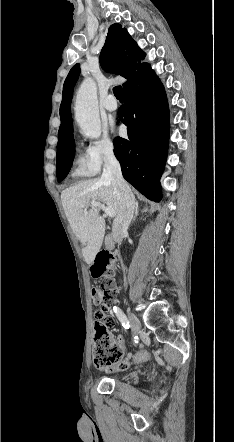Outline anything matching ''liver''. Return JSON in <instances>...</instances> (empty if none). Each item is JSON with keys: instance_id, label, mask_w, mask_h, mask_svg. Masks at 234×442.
Returning a JSON list of instances; mask_svg holds the SVG:
<instances>
[{"instance_id": "liver-1", "label": "liver", "mask_w": 234, "mask_h": 442, "mask_svg": "<svg viewBox=\"0 0 234 442\" xmlns=\"http://www.w3.org/2000/svg\"><path fill=\"white\" fill-rule=\"evenodd\" d=\"M61 201L68 222L83 246L84 260L92 265L102 246L105 220L99 216V208H88L92 202H102L113 208L117 215L120 207L118 194L112 182L101 177L65 189L61 193Z\"/></svg>"}]
</instances>
